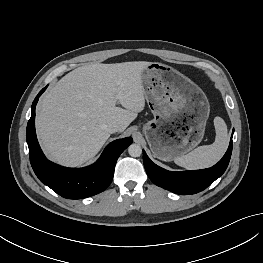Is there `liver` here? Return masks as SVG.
<instances>
[{"instance_id":"liver-1","label":"liver","mask_w":263,"mask_h":263,"mask_svg":"<svg viewBox=\"0 0 263 263\" xmlns=\"http://www.w3.org/2000/svg\"><path fill=\"white\" fill-rule=\"evenodd\" d=\"M149 63L89 64L59 80L36 113L37 135L49 158L66 166L82 165L110 137L107 124L116 122L123 132L145 107L142 71Z\"/></svg>"}]
</instances>
